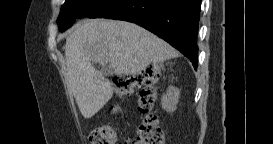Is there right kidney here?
<instances>
[{
	"label": "right kidney",
	"mask_w": 273,
	"mask_h": 144,
	"mask_svg": "<svg viewBox=\"0 0 273 144\" xmlns=\"http://www.w3.org/2000/svg\"><path fill=\"white\" fill-rule=\"evenodd\" d=\"M179 96V90L177 88L170 87L166 95L162 97V108L170 112L175 111L179 102Z\"/></svg>",
	"instance_id": "right-kidney-1"
}]
</instances>
